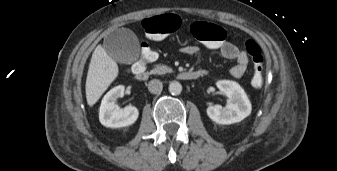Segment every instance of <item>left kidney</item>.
<instances>
[{
	"label": "left kidney",
	"mask_w": 337,
	"mask_h": 171,
	"mask_svg": "<svg viewBox=\"0 0 337 171\" xmlns=\"http://www.w3.org/2000/svg\"><path fill=\"white\" fill-rule=\"evenodd\" d=\"M217 87L230 99L226 108L221 105H213L207 108V115L218 124L229 125L242 121L250 115L252 106L243 90L236 82L220 80Z\"/></svg>",
	"instance_id": "1"
}]
</instances>
